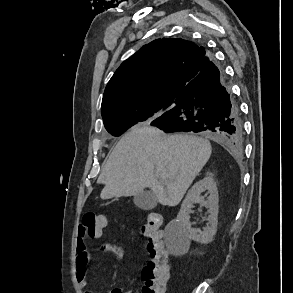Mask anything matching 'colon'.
Returning <instances> with one entry per match:
<instances>
[{"label": "colon", "instance_id": "obj_1", "mask_svg": "<svg viewBox=\"0 0 293 293\" xmlns=\"http://www.w3.org/2000/svg\"><path fill=\"white\" fill-rule=\"evenodd\" d=\"M161 224V215L152 212L140 228L141 235L149 240L147 244L149 260L141 271L142 293H165L167 289L170 270L166 261L168 252L164 248L159 230ZM105 226L106 217L104 215L86 212L82 217L81 228L86 237L100 238Z\"/></svg>", "mask_w": 293, "mask_h": 293}]
</instances>
